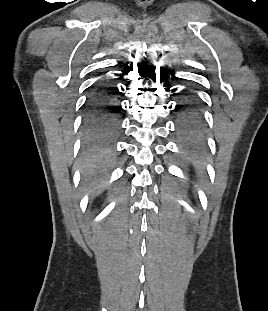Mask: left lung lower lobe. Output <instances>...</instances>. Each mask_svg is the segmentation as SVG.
<instances>
[{
  "instance_id": "obj_1",
  "label": "left lung lower lobe",
  "mask_w": 268,
  "mask_h": 311,
  "mask_svg": "<svg viewBox=\"0 0 268 311\" xmlns=\"http://www.w3.org/2000/svg\"><path fill=\"white\" fill-rule=\"evenodd\" d=\"M196 97L187 94L183 98L182 105L177 106V116L179 126L182 132L177 133L178 139L189 141L190 139H198L199 133L203 126V116L196 105Z\"/></svg>"
}]
</instances>
